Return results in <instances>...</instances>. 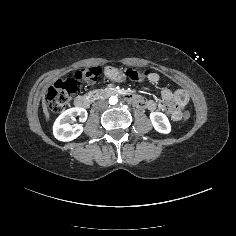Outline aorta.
<instances>
[{
  "label": "aorta",
  "instance_id": "obj_1",
  "mask_svg": "<svg viewBox=\"0 0 236 236\" xmlns=\"http://www.w3.org/2000/svg\"><path fill=\"white\" fill-rule=\"evenodd\" d=\"M117 102H118V99L115 96L110 97L109 100H108V103L110 105H115Z\"/></svg>",
  "mask_w": 236,
  "mask_h": 236
}]
</instances>
